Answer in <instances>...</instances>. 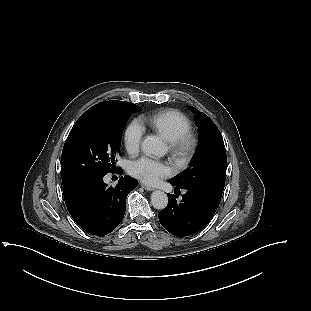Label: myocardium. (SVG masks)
Masks as SVG:
<instances>
[{
	"label": "myocardium",
	"mask_w": 311,
	"mask_h": 311,
	"mask_svg": "<svg viewBox=\"0 0 311 311\" xmlns=\"http://www.w3.org/2000/svg\"><path fill=\"white\" fill-rule=\"evenodd\" d=\"M194 148V139L190 133H186L171 143V151L178 161H186Z\"/></svg>",
	"instance_id": "f54148a6"
}]
</instances>
